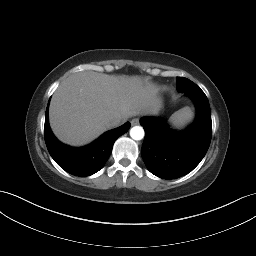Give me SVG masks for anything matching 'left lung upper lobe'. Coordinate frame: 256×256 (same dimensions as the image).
<instances>
[{
	"label": "left lung upper lobe",
	"instance_id": "left-lung-upper-lobe-1",
	"mask_svg": "<svg viewBox=\"0 0 256 256\" xmlns=\"http://www.w3.org/2000/svg\"><path fill=\"white\" fill-rule=\"evenodd\" d=\"M193 82L190 81L189 79L187 78H184V77H177V90L178 91H186L188 86L190 84H192Z\"/></svg>",
	"mask_w": 256,
	"mask_h": 256
}]
</instances>
